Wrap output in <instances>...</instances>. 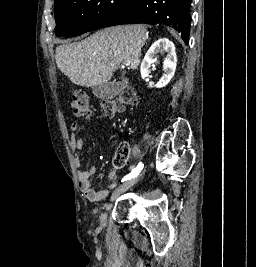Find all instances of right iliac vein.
Wrapping results in <instances>:
<instances>
[{
  "label": "right iliac vein",
  "mask_w": 256,
  "mask_h": 267,
  "mask_svg": "<svg viewBox=\"0 0 256 267\" xmlns=\"http://www.w3.org/2000/svg\"><path fill=\"white\" fill-rule=\"evenodd\" d=\"M141 176V175H140ZM140 176L133 178L127 182H124L122 185H120L112 194L111 196V202H113L115 199H117L122 193L126 192L128 189H130L132 186H134L137 181L139 180ZM107 218V213L102 212L100 216L101 223H105Z\"/></svg>",
  "instance_id": "63e3f726"
}]
</instances>
